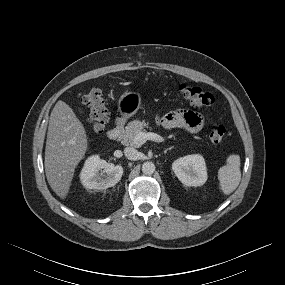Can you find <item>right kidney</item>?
Returning a JSON list of instances; mask_svg holds the SVG:
<instances>
[{"mask_svg": "<svg viewBox=\"0 0 285 285\" xmlns=\"http://www.w3.org/2000/svg\"><path fill=\"white\" fill-rule=\"evenodd\" d=\"M122 175V166L108 163L98 155H93L85 161L80 179L87 189L104 190L118 183Z\"/></svg>", "mask_w": 285, "mask_h": 285, "instance_id": "obj_1", "label": "right kidney"}]
</instances>
